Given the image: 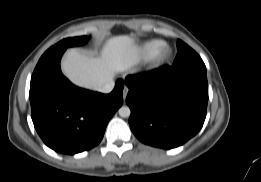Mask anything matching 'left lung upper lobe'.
Segmentation results:
<instances>
[{
  "mask_svg": "<svg viewBox=\"0 0 261 182\" xmlns=\"http://www.w3.org/2000/svg\"><path fill=\"white\" fill-rule=\"evenodd\" d=\"M178 54L173 63V67L184 66H205L201 57L183 41L177 42Z\"/></svg>",
  "mask_w": 261,
  "mask_h": 182,
  "instance_id": "left-lung-upper-lobe-1",
  "label": "left lung upper lobe"
}]
</instances>
